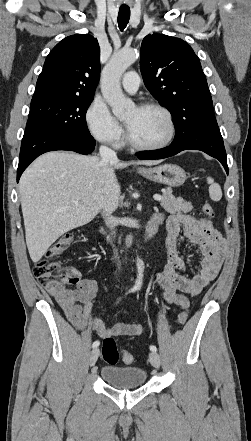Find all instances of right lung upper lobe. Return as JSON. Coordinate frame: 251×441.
I'll use <instances>...</instances> for the list:
<instances>
[{"label":"right lung upper lobe","mask_w":251,"mask_h":441,"mask_svg":"<svg viewBox=\"0 0 251 441\" xmlns=\"http://www.w3.org/2000/svg\"><path fill=\"white\" fill-rule=\"evenodd\" d=\"M100 76V47L89 34L60 41L48 54L32 101L51 97H93Z\"/></svg>","instance_id":"right-lung-upper-lobe-1"}]
</instances>
